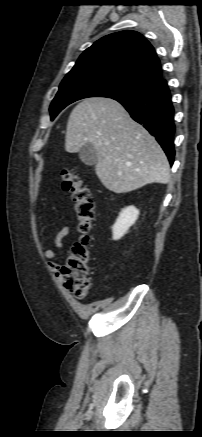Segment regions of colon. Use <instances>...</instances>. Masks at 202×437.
<instances>
[{"label": "colon", "instance_id": "obj_1", "mask_svg": "<svg viewBox=\"0 0 202 437\" xmlns=\"http://www.w3.org/2000/svg\"><path fill=\"white\" fill-rule=\"evenodd\" d=\"M61 178L63 189L71 194L74 203L80 237L70 247L60 273L64 287L81 299L88 294L90 288V234L94 226V203L89 190L82 185L74 169L63 168Z\"/></svg>", "mask_w": 202, "mask_h": 437}]
</instances>
